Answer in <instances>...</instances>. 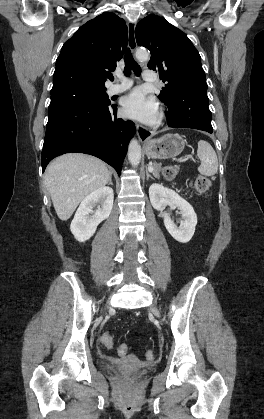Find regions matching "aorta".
<instances>
[{
    "label": "aorta",
    "instance_id": "1",
    "mask_svg": "<svg viewBox=\"0 0 264 419\" xmlns=\"http://www.w3.org/2000/svg\"><path fill=\"white\" fill-rule=\"evenodd\" d=\"M136 58L140 61H146L149 59V53L147 50L138 49L136 51ZM128 159L132 166L136 167L139 165L141 160V146L136 139L131 140L128 147Z\"/></svg>",
    "mask_w": 264,
    "mask_h": 419
}]
</instances>
